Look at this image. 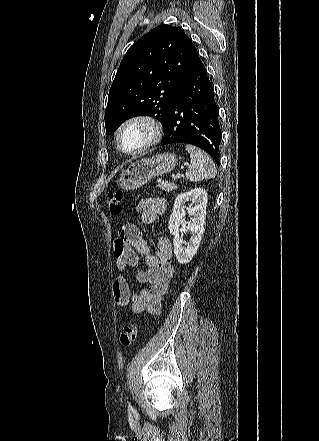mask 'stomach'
Returning a JSON list of instances; mask_svg holds the SVG:
<instances>
[{
    "label": "stomach",
    "mask_w": 319,
    "mask_h": 441,
    "mask_svg": "<svg viewBox=\"0 0 319 441\" xmlns=\"http://www.w3.org/2000/svg\"><path fill=\"white\" fill-rule=\"evenodd\" d=\"M176 164L177 157L171 153L135 161L121 173L117 186L126 191L137 189L153 177L171 172Z\"/></svg>",
    "instance_id": "obj_1"
}]
</instances>
